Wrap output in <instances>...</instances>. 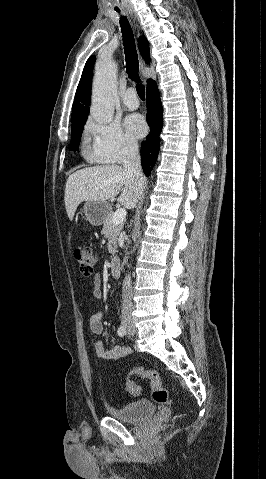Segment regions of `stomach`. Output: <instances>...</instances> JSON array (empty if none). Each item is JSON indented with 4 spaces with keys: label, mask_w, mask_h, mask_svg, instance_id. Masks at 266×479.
Returning <instances> with one entry per match:
<instances>
[{
    "label": "stomach",
    "mask_w": 266,
    "mask_h": 479,
    "mask_svg": "<svg viewBox=\"0 0 266 479\" xmlns=\"http://www.w3.org/2000/svg\"><path fill=\"white\" fill-rule=\"evenodd\" d=\"M111 207L104 201H87L84 205L83 212L92 225H101L105 222Z\"/></svg>",
    "instance_id": "obj_1"
}]
</instances>
